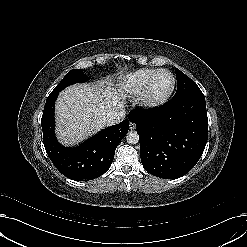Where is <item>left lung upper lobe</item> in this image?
Returning a JSON list of instances; mask_svg holds the SVG:
<instances>
[{"mask_svg": "<svg viewBox=\"0 0 247 247\" xmlns=\"http://www.w3.org/2000/svg\"><path fill=\"white\" fill-rule=\"evenodd\" d=\"M178 88L173 98H181L188 94L201 91L200 88L179 69H175Z\"/></svg>", "mask_w": 247, "mask_h": 247, "instance_id": "1", "label": "left lung upper lobe"}]
</instances>
